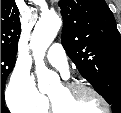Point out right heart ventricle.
Instances as JSON below:
<instances>
[{"label": "right heart ventricle", "mask_w": 121, "mask_h": 113, "mask_svg": "<svg viewBox=\"0 0 121 113\" xmlns=\"http://www.w3.org/2000/svg\"><path fill=\"white\" fill-rule=\"evenodd\" d=\"M46 109H47V107L45 106L44 110H46Z\"/></svg>", "instance_id": "1"}]
</instances>
